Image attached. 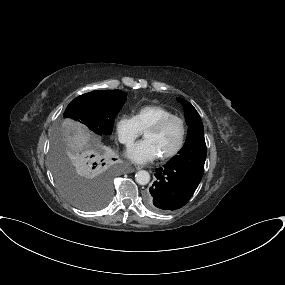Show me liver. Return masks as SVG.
Segmentation results:
<instances>
[{"label":"liver","mask_w":285,"mask_h":285,"mask_svg":"<svg viewBox=\"0 0 285 285\" xmlns=\"http://www.w3.org/2000/svg\"><path fill=\"white\" fill-rule=\"evenodd\" d=\"M91 135L80 124L72 125V135L69 137L68 150L72 161L78 160L80 152L91 147Z\"/></svg>","instance_id":"obj_1"}]
</instances>
